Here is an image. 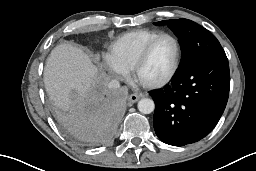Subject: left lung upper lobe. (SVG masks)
Returning <instances> with one entry per match:
<instances>
[{
    "label": "left lung upper lobe",
    "instance_id": "1",
    "mask_svg": "<svg viewBox=\"0 0 256 171\" xmlns=\"http://www.w3.org/2000/svg\"><path fill=\"white\" fill-rule=\"evenodd\" d=\"M168 25L179 38L182 58L179 69L203 59L226 57L216 37L204 27L188 19H174L155 22Z\"/></svg>",
    "mask_w": 256,
    "mask_h": 171
}]
</instances>
